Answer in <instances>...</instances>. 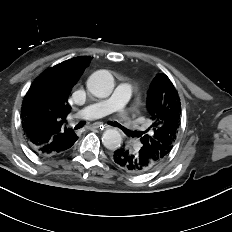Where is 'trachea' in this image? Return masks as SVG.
Segmentation results:
<instances>
[{
    "mask_svg": "<svg viewBox=\"0 0 232 232\" xmlns=\"http://www.w3.org/2000/svg\"><path fill=\"white\" fill-rule=\"evenodd\" d=\"M112 124H114L113 122H112ZM85 125V121H81V122H79L76 126H75V129H80V128H82L83 126ZM119 126V125H118ZM121 127V126H120ZM123 130H125L126 132H128L124 127H121Z\"/></svg>",
    "mask_w": 232,
    "mask_h": 232,
    "instance_id": "trachea-1",
    "label": "trachea"
}]
</instances>
